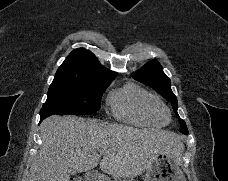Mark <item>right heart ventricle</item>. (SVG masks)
Listing matches in <instances>:
<instances>
[{
  "label": "right heart ventricle",
  "instance_id": "obj_1",
  "mask_svg": "<svg viewBox=\"0 0 228 181\" xmlns=\"http://www.w3.org/2000/svg\"><path fill=\"white\" fill-rule=\"evenodd\" d=\"M115 116L121 121L162 126L168 120V111L154 95L136 85H127L111 95Z\"/></svg>",
  "mask_w": 228,
  "mask_h": 181
}]
</instances>
